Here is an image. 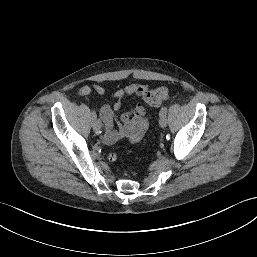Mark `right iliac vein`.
<instances>
[{"label":"right iliac vein","mask_w":257,"mask_h":257,"mask_svg":"<svg viewBox=\"0 0 257 257\" xmlns=\"http://www.w3.org/2000/svg\"><path fill=\"white\" fill-rule=\"evenodd\" d=\"M101 127H102V123L100 120H96L93 122V130L96 132V133H99L100 130H101Z\"/></svg>","instance_id":"obj_1"}]
</instances>
